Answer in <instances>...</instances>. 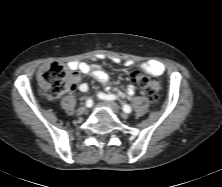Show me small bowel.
Here are the masks:
<instances>
[{
  "mask_svg": "<svg viewBox=\"0 0 222 187\" xmlns=\"http://www.w3.org/2000/svg\"><path fill=\"white\" fill-rule=\"evenodd\" d=\"M96 58H93L92 60H95ZM132 62L128 61L126 63L127 66H132ZM69 68L72 70L78 71L80 74L84 75H90L93 76L99 83H101L103 86H106L109 82V76L106 72L101 70L95 65H91L85 62H77L73 61L68 64ZM139 71L144 72L153 76H159L164 72V66L161 62L156 60H150L147 62H144L140 64ZM78 79V78H77ZM78 90L80 92H86L88 90V85L84 82L78 84ZM135 92L134 85H129L122 96H132ZM100 94V93H99ZM98 94V95H99ZM104 94V93H103Z\"/></svg>",
  "mask_w": 222,
  "mask_h": 187,
  "instance_id": "c3829d8e",
  "label": "small bowel"
}]
</instances>
